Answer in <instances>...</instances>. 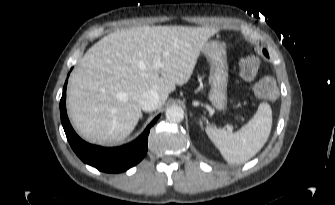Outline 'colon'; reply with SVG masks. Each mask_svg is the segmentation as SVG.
I'll list each match as a JSON object with an SVG mask.
<instances>
[{
    "label": "colon",
    "instance_id": "5ec220e1",
    "mask_svg": "<svg viewBox=\"0 0 335 205\" xmlns=\"http://www.w3.org/2000/svg\"><path fill=\"white\" fill-rule=\"evenodd\" d=\"M259 65V60L255 56L243 58L239 63L240 77L245 81L253 80L258 74ZM253 92L259 98L274 99L278 95V88L275 80L266 76L254 84Z\"/></svg>",
    "mask_w": 335,
    "mask_h": 205
}]
</instances>
